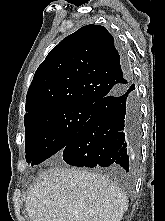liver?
<instances>
[{
    "mask_svg": "<svg viewBox=\"0 0 165 221\" xmlns=\"http://www.w3.org/2000/svg\"><path fill=\"white\" fill-rule=\"evenodd\" d=\"M25 206L31 221H120L128 200L106 176L55 166L40 175Z\"/></svg>",
    "mask_w": 165,
    "mask_h": 221,
    "instance_id": "1",
    "label": "liver"
}]
</instances>
